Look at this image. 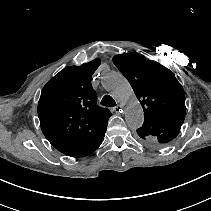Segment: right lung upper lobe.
<instances>
[{
    "label": "right lung upper lobe",
    "mask_w": 211,
    "mask_h": 211,
    "mask_svg": "<svg viewBox=\"0 0 211 211\" xmlns=\"http://www.w3.org/2000/svg\"><path fill=\"white\" fill-rule=\"evenodd\" d=\"M95 59L81 66H69L43 88L38 117L43 134L52 146L97 133L112 113L96 105L91 76L100 65Z\"/></svg>",
    "instance_id": "1"
}]
</instances>
